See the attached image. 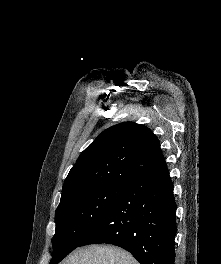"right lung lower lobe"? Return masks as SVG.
<instances>
[{
  "label": "right lung lower lobe",
  "instance_id": "obj_1",
  "mask_svg": "<svg viewBox=\"0 0 221 264\" xmlns=\"http://www.w3.org/2000/svg\"><path fill=\"white\" fill-rule=\"evenodd\" d=\"M176 203L166 166L126 184L101 223L79 245L108 243L140 264H174Z\"/></svg>",
  "mask_w": 221,
  "mask_h": 264
}]
</instances>
